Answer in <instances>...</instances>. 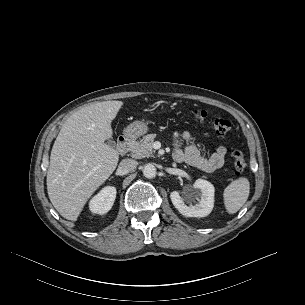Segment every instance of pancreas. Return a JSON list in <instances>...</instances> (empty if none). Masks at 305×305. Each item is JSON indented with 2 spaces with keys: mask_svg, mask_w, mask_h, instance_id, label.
Listing matches in <instances>:
<instances>
[{
  "mask_svg": "<svg viewBox=\"0 0 305 305\" xmlns=\"http://www.w3.org/2000/svg\"><path fill=\"white\" fill-rule=\"evenodd\" d=\"M156 134L146 135L141 142H133L131 144L132 157L136 159H142L153 155V142Z\"/></svg>",
  "mask_w": 305,
  "mask_h": 305,
  "instance_id": "1",
  "label": "pancreas"
}]
</instances>
